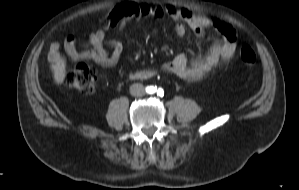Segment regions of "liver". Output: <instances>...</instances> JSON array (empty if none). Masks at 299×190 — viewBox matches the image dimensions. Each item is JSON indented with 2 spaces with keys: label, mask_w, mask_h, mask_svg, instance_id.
Returning <instances> with one entry per match:
<instances>
[{
  "label": "liver",
  "mask_w": 299,
  "mask_h": 190,
  "mask_svg": "<svg viewBox=\"0 0 299 190\" xmlns=\"http://www.w3.org/2000/svg\"><path fill=\"white\" fill-rule=\"evenodd\" d=\"M54 80L55 83L61 85L66 77V61L59 59L54 66Z\"/></svg>",
  "instance_id": "obj_1"
}]
</instances>
